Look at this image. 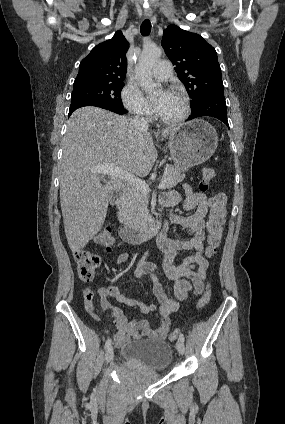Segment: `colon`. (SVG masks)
I'll use <instances>...</instances> for the list:
<instances>
[{"label": "colon", "mask_w": 285, "mask_h": 424, "mask_svg": "<svg viewBox=\"0 0 285 424\" xmlns=\"http://www.w3.org/2000/svg\"><path fill=\"white\" fill-rule=\"evenodd\" d=\"M216 176V170L208 166L203 172L199 181V190L205 193L209 190V186L213 178ZM227 195L225 193H216L210 199V216L208 221V238L207 244L211 252H215L219 247L227 216ZM97 242L106 247L111 248L114 244V237L109 226L105 225L99 230ZM74 258L77 263V273L82 281H92L95 272L100 266V257L89 250H78L74 252ZM210 300V292L206 290L198 301V308L205 307ZM178 330L170 333L169 339L175 340L178 336Z\"/></svg>", "instance_id": "obj_1"}]
</instances>
